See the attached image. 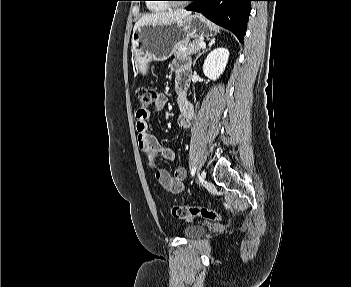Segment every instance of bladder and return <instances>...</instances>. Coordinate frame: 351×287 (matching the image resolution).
Segmentation results:
<instances>
[{
  "label": "bladder",
  "mask_w": 351,
  "mask_h": 287,
  "mask_svg": "<svg viewBox=\"0 0 351 287\" xmlns=\"http://www.w3.org/2000/svg\"><path fill=\"white\" fill-rule=\"evenodd\" d=\"M205 232V227L201 225H189L183 230V235L188 238H194L202 235Z\"/></svg>",
  "instance_id": "bladder-1"
}]
</instances>
